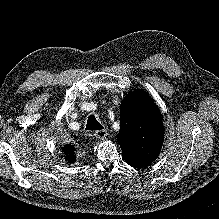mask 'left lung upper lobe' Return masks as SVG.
Here are the masks:
<instances>
[{
  "label": "left lung upper lobe",
  "instance_id": "obj_1",
  "mask_svg": "<svg viewBox=\"0 0 219 219\" xmlns=\"http://www.w3.org/2000/svg\"><path fill=\"white\" fill-rule=\"evenodd\" d=\"M118 143L125 161L132 167L150 165L159 155L164 126L158 107L144 91H133L120 107Z\"/></svg>",
  "mask_w": 219,
  "mask_h": 219
}]
</instances>
